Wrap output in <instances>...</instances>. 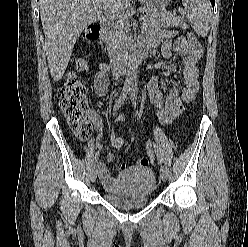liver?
Segmentation results:
<instances>
[{
	"label": "liver",
	"mask_w": 248,
	"mask_h": 247,
	"mask_svg": "<svg viewBox=\"0 0 248 247\" xmlns=\"http://www.w3.org/2000/svg\"><path fill=\"white\" fill-rule=\"evenodd\" d=\"M129 0H40V17L45 35V51L54 81L68 66L73 47L82 31L104 14L128 7Z\"/></svg>",
	"instance_id": "1"
}]
</instances>
